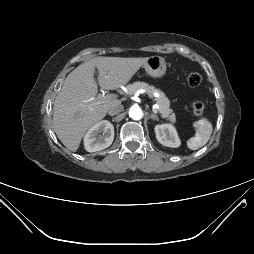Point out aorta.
I'll return each mask as SVG.
<instances>
[{"label":"aorta","mask_w":254,"mask_h":254,"mask_svg":"<svg viewBox=\"0 0 254 254\" xmlns=\"http://www.w3.org/2000/svg\"><path fill=\"white\" fill-rule=\"evenodd\" d=\"M129 116L134 120H139L142 118V110L138 106H132L129 110Z\"/></svg>","instance_id":"762f6f07"}]
</instances>
